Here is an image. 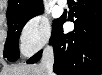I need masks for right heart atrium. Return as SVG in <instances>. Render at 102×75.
<instances>
[{
  "label": "right heart atrium",
  "mask_w": 102,
  "mask_h": 75,
  "mask_svg": "<svg viewBox=\"0 0 102 75\" xmlns=\"http://www.w3.org/2000/svg\"><path fill=\"white\" fill-rule=\"evenodd\" d=\"M51 40V26L41 15L30 17L22 26L19 34L20 48L25 55H32L46 46Z\"/></svg>",
  "instance_id": "1"
}]
</instances>
